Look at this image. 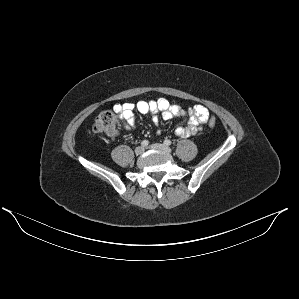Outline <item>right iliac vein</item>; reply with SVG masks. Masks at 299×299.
<instances>
[{"mask_svg": "<svg viewBox=\"0 0 299 299\" xmlns=\"http://www.w3.org/2000/svg\"><path fill=\"white\" fill-rule=\"evenodd\" d=\"M143 152H144V147H142V146L136 147V149H135L136 155H141Z\"/></svg>", "mask_w": 299, "mask_h": 299, "instance_id": "1", "label": "right iliac vein"}]
</instances>
